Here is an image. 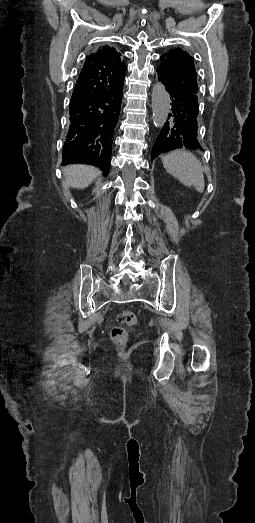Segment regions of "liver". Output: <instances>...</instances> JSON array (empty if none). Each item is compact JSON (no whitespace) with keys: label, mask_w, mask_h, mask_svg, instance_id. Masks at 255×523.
<instances>
[{"label":"liver","mask_w":255,"mask_h":523,"mask_svg":"<svg viewBox=\"0 0 255 523\" xmlns=\"http://www.w3.org/2000/svg\"><path fill=\"white\" fill-rule=\"evenodd\" d=\"M63 174L67 178L66 184L71 188L77 190H84L92 184L93 180L98 176V170L93 166H84V164H75V166H67L63 168Z\"/></svg>","instance_id":"1"}]
</instances>
